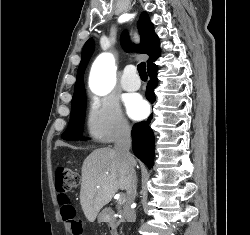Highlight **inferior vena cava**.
<instances>
[{"label":"inferior vena cava","instance_id":"inferior-vena-cava-1","mask_svg":"<svg viewBox=\"0 0 250 235\" xmlns=\"http://www.w3.org/2000/svg\"><path fill=\"white\" fill-rule=\"evenodd\" d=\"M130 147H131V129L127 124H123L116 139L114 149L130 172L131 180L127 188V199L124 206V215L128 221H135L136 214L135 211L131 208V204L134 202L136 196L137 178L133 166L134 159L129 151Z\"/></svg>","mask_w":250,"mask_h":235}]
</instances>
